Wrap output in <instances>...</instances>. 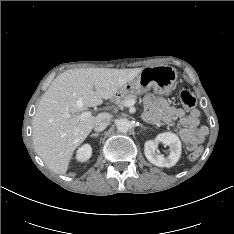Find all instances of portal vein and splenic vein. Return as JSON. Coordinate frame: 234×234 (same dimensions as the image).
Instances as JSON below:
<instances>
[{"label":"portal vein and splenic vein","instance_id":"1","mask_svg":"<svg viewBox=\"0 0 234 234\" xmlns=\"http://www.w3.org/2000/svg\"><path fill=\"white\" fill-rule=\"evenodd\" d=\"M123 105H124L125 107H132V106L135 105V101H134V100H128V101H125V102L123 103ZM91 116H92V113H91L90 111H85V112H83V113H81V114L79 115V119L85 120V119H87V118H89V117H91Z\"/></svg>","mask_w":234,"mask_h":234}]
</instances>
